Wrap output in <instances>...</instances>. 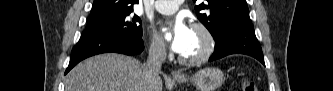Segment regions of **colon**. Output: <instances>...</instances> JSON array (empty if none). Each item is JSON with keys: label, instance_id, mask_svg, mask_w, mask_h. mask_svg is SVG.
I'll return each instance as SVG.
<instances>
[{"label": "colon", "instance_id": "1", "mask_svg": "<svg viewBox=\"0 0 333 91\" xmlns=\"http://www.w3.org/2000/svg\"><path fill=\"white\" fill-rule=\"evenodd\" d=\"M256 84L251 80H244L242 83V91H257Z\"/></svg>", "mask_w": 333, "mask_h": 91}]
</instances>
